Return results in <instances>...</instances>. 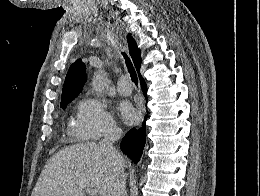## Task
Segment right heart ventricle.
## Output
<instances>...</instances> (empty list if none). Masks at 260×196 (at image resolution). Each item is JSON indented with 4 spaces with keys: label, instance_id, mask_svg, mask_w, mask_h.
Listing matches in <instances>:
<instances>
[{
    "label": "right heart ventricle",
    "instance_id": "obj_1",
    "mask_svg": "<svg viewBox=\"0 0 260 196\" xmlns=\"http://www.w3.org/2000/svg\"><path fill=\"white\" fill-rule=\"evenodd\" d=\"M66 192H79V190H66Z\"/></svg>",
    "mask_w": 260,
    "mask_h": 196
}]
</instances>
